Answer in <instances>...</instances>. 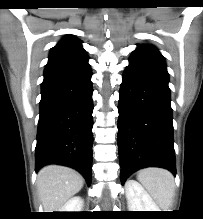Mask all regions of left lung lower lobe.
<instances>
[{"instance_id": "0a47b994", "label": "left lung lower lobe", "mask_w": 203, "mask_h": 219, "mask_svg": "<svg viewBox=\"0 0 203 219\" xmlns=\"http://www.w3.org/2000/svg\"><path fill=\"white\" fill-rule=\"evenodd\" d=\"M169 74L166 65L130 57L118 104L121 182L142 168L161 167L176 175Z\"/></svg>"}]
</instances>
